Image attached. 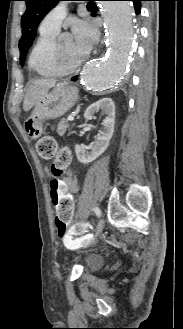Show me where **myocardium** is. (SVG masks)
Masks as SVG:
<instances>
[{"label":"myocardium","instance_id":"obj_1","mask_svg":"<svg viewBox=\"0 0 183 329\" xmlns=\"http://www.w3.org/2000/svg\"><path fill=\"white\" fill-rule=\"evenodd\" d=\"M89 55H86L81 61L69 65V66H64V55L60 46V43L56 44L54 47L53 51V64L56 72L59 75H69L72 74L76 71H78L88 60Z\"/></svg>","mask_w":183,"mask_h":329}]
</instances>
